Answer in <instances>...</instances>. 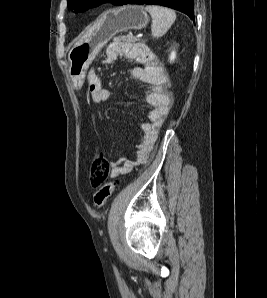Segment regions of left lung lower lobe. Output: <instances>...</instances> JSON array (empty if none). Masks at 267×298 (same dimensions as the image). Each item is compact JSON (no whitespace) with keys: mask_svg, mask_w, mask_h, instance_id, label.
<instances>
[{"mask_svg":"<svg viewBox=\"0 0 267 298\" xmlns=\"http://www.w3.org/2000/svg\"><path fill=\"white\" fill-rule=\"evenodd\" d=\"M126 4H155L173 8L187 14L194 20V2L193 0H123L120 5Z\"/></svg>","mask_w":267,"mask_h":298,"instance_id":"obj_1","label":"left lung lower lobe"}]
</instances>
